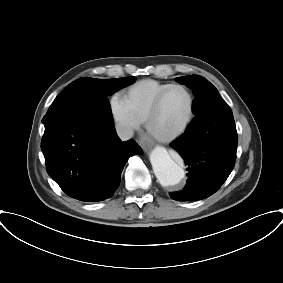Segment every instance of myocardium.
Wrapping results in <instances>:
<instances>
[{
    "label": "myocardium",
    "instance_id": "myocardium-1",
    "mask_svg": "<svg viewBox=\"0 0 283 283\" xmlns=\"http://www.w3.org/2000/svg\"><path fill=\"white\" fill-rule=\"evenodd\" d=\"M182 89L184 90L188 97H189V111H188V115L184 121V123L181 125L180 128H178L176 131L167 134V135H160L157 134L153 131L152 129V122L155 119V117L157 116L159 109L161 107L162 101L165 98V96L167 95V93L169 91H171L172 89ZM194 113H195V97L193 95V92L190 90V88H188L186 85L183 84H171L168 87H166L165 89H163L155 98L151 109L146 117L145 120V128L147 130V132L154 137L155 139H157L158 141L161 142H171L177 138H179L180 136H182L187 129L189 128L193 118H194Z\"/></svg>",
    "mask_w": 283,
    "mask_h": 283
}]
</instances>
